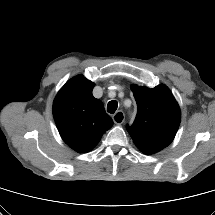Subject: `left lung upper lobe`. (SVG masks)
<instances>
[{
    "label": "left lung upper lobe",
    "mask_w": 215,
    "mask_h": 215,
    "mask_svg": "<svg viewBox=\"0 0 215 215\" xmlns=\"http://www.w3.org/2000/svg\"><path fill=\"white\" fill-rule=\"evenodd\" d=\"M137 116L127 131L144 154H155L174 139L180 124V109L165 85L152 89L133 85Z\"/></svg>",
    "instance_id": "left-lung-upper-lobe-1"
}]
</instances>
